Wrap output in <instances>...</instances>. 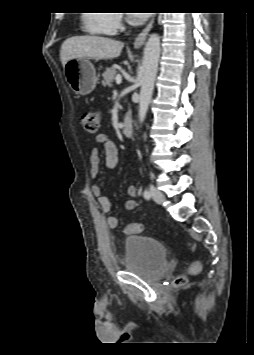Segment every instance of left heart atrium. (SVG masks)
<instances>
[{
	"label": "left heart atrium",
	"mask_w": 254,
	"mask_h": 355,
	"mask_svg": "<svg viewBox=\"0 0 254 355\" xmlns=\"http://www.w3.org/2000/svg\"><path fill=\"white\" fill-rule=\"evenodd\" d=\"M147 17V13H130L129 21L133 25H139L142 24L147 19Z\"/></svg>",
	"instance_id": "obj_1"
}]
</instances>
